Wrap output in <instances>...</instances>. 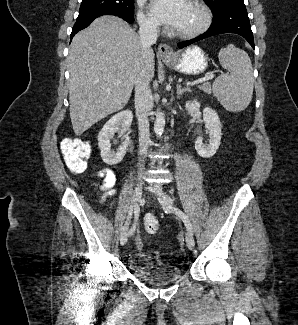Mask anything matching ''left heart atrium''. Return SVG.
<instances>
[{
  "instance_id": "39dd6f15",
  "label": "left heart atrium",
  "mask_w": 298,
  "mask_h": 325,
  "mask_svg": "<svg viewBox=\"0 0 298 325\" xmlns=\"http://www.w3.org/2000/svg\"><path fill=\"white\" fill-rule=\"evenodd\" d=\"M182 5L181 0H153L151 16L156 23L172 28L179 23Z\"/></svg>"
}]
</instances>
